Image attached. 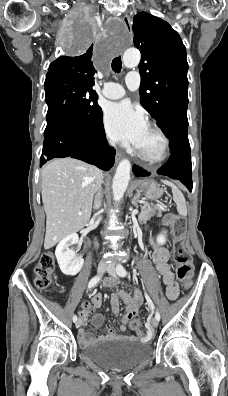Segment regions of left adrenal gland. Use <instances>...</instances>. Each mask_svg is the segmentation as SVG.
<instances>
[{"label": "left adrenal gland", "instance_id": "1", "mask_svg": "<svg viewBox=\"0 0 228 396\" xmlns=\"http://www.w3.org/2000/svg\"><path fill=\"white\" fill-rule=\"evenodd\" d=\"M139 197H140V192H138V193L133 197V199H132V204H133L135 207H138V200H139Z\"/></svg>", "mask_w": 228, "mask_h": 396}]
</instances>
